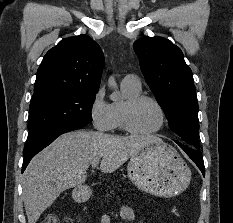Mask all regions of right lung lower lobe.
Wrapping results in <instances>:
<instances>
[{
  "mask_svg": "<svg viewBox=\"0 0 233 223\" xmlns=\"http://www.w3.org/2000/svg\"><path fill=\"white\" fill-rule=\"evenodd\" d=\"M84 126L79 125V124H73V125H69L66 127H63L62 129H60L56 134H54L53 136H51L50 138H48L41 146H39L38 148H36L35 150H33L32 152L24 155L25 159L23 162V166H22V173L25 170L26 166L28 165V163L30 162V160L38 153L40 152L43 148H45L46 146H48L50 143H52L58 136H60L63 133L69 132V131H73V130H77V129H81Z\"/></svg>",
  "mask_w": 233,
  "mask_h": 223,
  "instance_id": "right-lung-lower-lobe-1",
  "label": "right lung lower lobe"
}]
</instances>
